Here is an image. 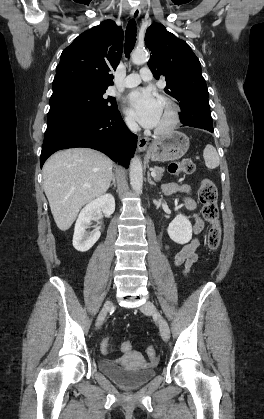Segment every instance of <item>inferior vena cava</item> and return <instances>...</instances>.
<instances>
[{
	"label": "inferior vena cava",
	"instance_id": "1",
	"mask_svg": "<svg viewBox=\"0 0 264 419\" xmlns=\"http://www.w3.org/2000/svg\"><path fill=\"white\" fill-rule=\"evenodd\" d=\"M126 124L129 127V129L133 132H137L140 130L138 124L132 119H126Z\"/></svg>",
	"mask_w": 264,
	"mask_h": 419
}]
</instances>
